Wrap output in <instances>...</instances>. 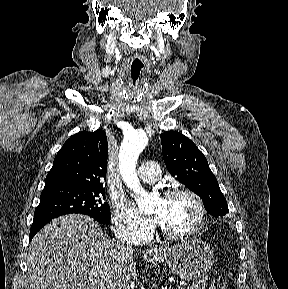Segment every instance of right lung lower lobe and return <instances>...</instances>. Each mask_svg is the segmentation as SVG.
Wrapping results in <instances>:
<instances>
[{"instance_id":"1","label":"right lung lower lobe","mask_w":288,"mask_h":289,"mask_svg":"<svg viewBox=\"0 0 288 289\" xmlns=\"http://www.w3.org/2000/svg\"><path fill=\"white\" fill-rule=\"evenodd\" d=\"M52 219H40V220H34L33 224L31 226L30 229V236H29V240H31L34 235L45 225L47 224L49 221H51Z\"/></svg>"}]
</instances>
